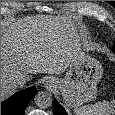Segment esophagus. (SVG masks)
I'll return each mask as SVG.
<instances>
[{"label":"esophagus","instance_id":"34e87169","mask_svg":"<svg viewBox=\"0 0 115 115\" xmlns=\"http://www.w3.org/2000/svg\"><path fill=\"white\" fill-rule=\"evenodd\" d=\"M45 85H46L47 88H52V87H54V81L53 80H48Z\"/></svg>","mask_w":115,"mask_h":115}]
</instances>
